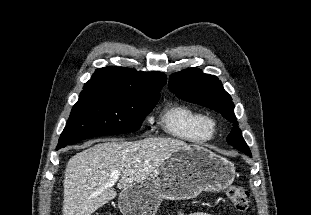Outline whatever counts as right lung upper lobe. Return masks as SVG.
<instances>
[{
    "mask_svg": "<svg viewBox=\"0 0 311 215\" xmlns=\"http://www.w3.org/2000/svg\"><path fill=\"white\" fill-rule=\"evenodd\" d=\"M166 83L162 72H142L129 68H101L84 85L82 92H108L140 98L160 97Z\"/></svg>",
    "mask_w": 311,
    "mask_h": 215,
    "instance_id": "obj_1",
    "label": "right lung upper lobe"
}]
</instances>
